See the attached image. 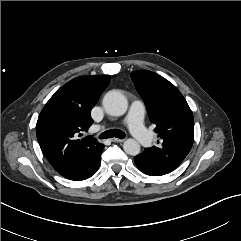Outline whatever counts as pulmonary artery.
Instances as JSON below:
<instances>
[{
  "label": "pulmonary artery",
  "mask_w": 241,
  "mask_h": 241,
  "mask_svg": "<svg viewBox=\"0 0 241 241\" xmlns=\"http://www.w3.org/2000/svg\"><path fill=\"white\" fill-rule=\"evenodd\" d=\"M144 107L143 104L136 100L132 103L126 122L132 135L143 146L152 144V135L143 125Z\"/></svg>",
  "instance_id": "e3ab8cb5"
}]
</instances>
